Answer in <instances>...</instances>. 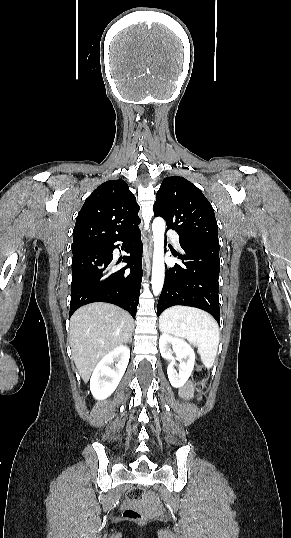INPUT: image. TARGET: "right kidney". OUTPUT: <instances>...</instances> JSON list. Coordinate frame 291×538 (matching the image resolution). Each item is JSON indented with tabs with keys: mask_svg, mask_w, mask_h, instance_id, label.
Here are the masks:
<instances>
[{
	"mask_svg": "<svg viewBox=\"0 0 291 538\" xmlns=\"http://www.w3.org/2000/svg\"><path fill=\"white\" fill-rule=\"evenodd\" d=\"M129 357L130 349L120 345L100 360L90 379V390L94 398L103 400L114 392L127 368Z\"/></svg>",
	"mask_w": 291,
	"mask_h": 538,
	"instance_id": "obj_1",
	"label": "right kidney"
}]
</instances>
